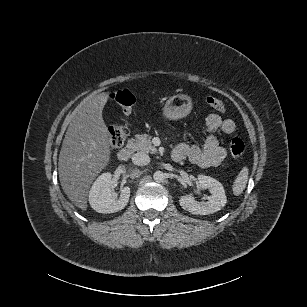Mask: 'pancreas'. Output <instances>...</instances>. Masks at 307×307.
Wrapping results in <instances>:
<instances>
[{
  "label": "pancreas",
  "instance_id": "1",
  "mask_svg": "<svg viewBox=\"0 0 307 307\" xmlns=\"http://www.w3.org/2000/svg\"><path fill=\"white\" fill-rule=\"evenodd\" d=\"M136 150L143 153L156 154L157 149L152 145L151 137L146 134H138L135 136Z\"/></svg>",
  "mask_w": 307,
  "mask_h": 307
}]
</instances>
